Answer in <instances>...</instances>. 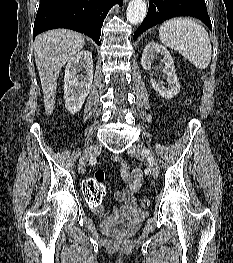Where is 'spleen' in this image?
Returning a JSON list of instances; mask_svg holds the SVG:
<instances>
[{
    "label": "spleen",
    "mask_w": 233,
    "mask_h": 263,
    "mask_svg": "<svg viewBox=\"0 0 233 263\" xmlns=\"http://www.w3.org/2000/svg\"><path fill=\"white\" fill-rule=\"evenodd\" d=\"M159 39L198 69H205L210 64L212 46L209 35L192 18L178 17L164 22L159 28Z\"/></svg>",
    "instance_id": "1"
}]
</instances>
